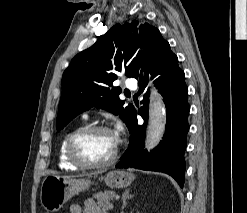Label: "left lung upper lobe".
I'll list each match as a JSON object with an SVG mask.
<instances>
[{"label": "left lung upper lobe", "mask_w": 247, "mask_h": 213, "mask_svg": "<svg viewBox=\"0 0 247 213\" xmlns=\"http://www.w3.org/2000/svg\"><path fill=\"white\" fill-rule=\"evenodd\" d=\"M172 53L169 43L159 30L148 23L132 21L114 25L90 48L77 54L62 76V95L59 103L56 127L60 131L74 117L92 107L106 109L120 115L128 126L135 112L132 105L124 107L118 94L119 87H112L121 72L142 80L138 67L146 72Z\"/></svg>", "instance_id": "5c2ea615"}]
</instances>
